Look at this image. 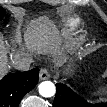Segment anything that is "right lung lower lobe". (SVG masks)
Returning <instances> with one entry per match:
<instances>
[{"label":"right lung lower lobe","mask_w":107,"mask_h":107,"mask_svg":"<svg viewBox=\"0 0 107 107\" xmlns=\"http://www.w3.org/2000/svg\"><path fill=\"white\" fill-rule=\"evenodd\" d=\"M39 69L6 75L0 81V107H18L23 96L38 82Z\"/></svg>","instance_id":"obj_1"}]
</instances>
